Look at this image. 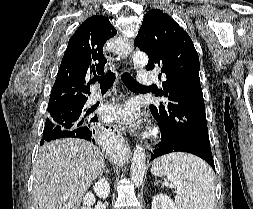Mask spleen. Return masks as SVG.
<instances>
[{"label":"spleen","mask_w":253,"mask_h":209,"mask_svg":"<svg viewBox=\"0 0 253 209\" xmlns=\"http://www.w3.org/2000/svg\"><path fill=\"white\" fill-rule=\"evenodd\" d=\"M151 172L167 176L178 192V209H214V174L209 165L191 154L171 153L155 160Z\"/></svg>","instance_id":"spleen-1"}]
</instances>
